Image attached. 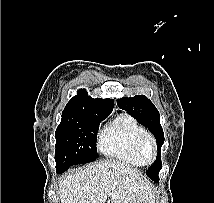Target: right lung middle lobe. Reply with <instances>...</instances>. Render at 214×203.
Wrapping results in <instances>:
<instances>
[{"mask_svg":"<svg viewBox=\"0 0 214 203\" xmlns=\"http://www.w3.org/2000/svg\"><path fill=\"white\" fill-rule=\"evenodd\" d=\"M107 116L89 109L63 110L61 123L55 132L57 173L97 158L96 133L100 122Z\"/></svg>","mask_w":214,"mask_h":203,"instance_id":"1","label":"right lung middle lobe"}]
</instances>
